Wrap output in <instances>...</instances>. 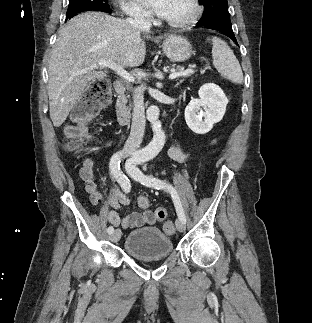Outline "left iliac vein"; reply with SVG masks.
I'll use <instances>...</instances> for the list:
<instances>
[{"mask_svg": "<svg viewBox=\"0 0 312 323\" xmlns=\"http://www.w3.org/2000/svg\"><path fill=\"white\" fill-rule=\"evenodd\" d=\"M176 227L179 232H183L185 230V224L180 218L176 220Z\"/></svg>", "mask_w": 312, "mask_h": 323, "instance_id": "left-iliac-vein-1", "label": "left iliac vein"}]
</instances>
